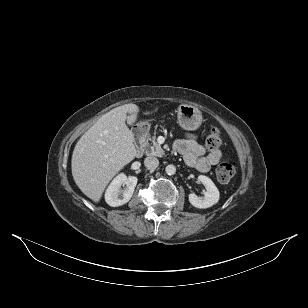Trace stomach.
<instances>
[{"label": "stomach", "mask_w": 308, "mask_h": 308, "mask_svg": "<svg viewBox=\"0 0 308 308\" xmlns=\"http://www.w3.org/2000/svg\"><path fill=\"white\" fill-rule=\"evenodd\" d=\"M179 125L185 130H196L202 123L201 111L192 105L182 104L177 110ZM142 124V123H141ZM144 124H147L145 122Z\"/></svg>", "instance_id": "1"}]
</instances>
